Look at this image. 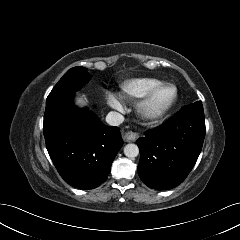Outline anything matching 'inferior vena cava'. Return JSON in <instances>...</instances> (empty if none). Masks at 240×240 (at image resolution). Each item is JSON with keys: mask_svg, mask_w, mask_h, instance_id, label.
I'll list each match as a JSON object with an SVG mask.
<instances>
[{"mask_svg": "<svg viewBox=\"0 0 240 240\" xmlns=\"http://www.w3.org/2000/svg\"><path fill=\"white\" fill-rule=\"evenodd\" d=\"M123 121L124 117L120 113L115 111L109 112L106 116V122L112 126H118L123 123Z\"/></svg>", "mask_w": 240, "mask_h": 240, "instance_id": "inferior-vena-cava-1", "label": "inferior vena cava"}]
</instances>
